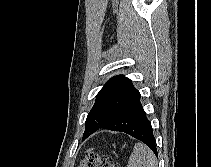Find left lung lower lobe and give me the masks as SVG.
Segmentation results:
<instances>
[{
    "instance_id": "0a47b994",
    "label": "left lung lower lobe",
    "mask_w": 211,
    "mask_h": 167,
    "mask_svg": "<svg viewBox=\"0 0 211 167\" xmlns=\"http://www.w3.org/2000/svg\"><path fill=\"white\" fill-rule=\"evenodd\" d=\"M100 128L125 132L145 143L157 155L152 126L140 103V95L130 102L115 118L83 136V140Z\"/></svg>"
}]
</instances>
